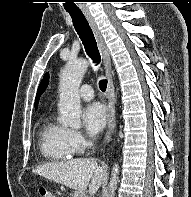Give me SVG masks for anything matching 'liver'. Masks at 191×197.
Wrapping results in <instances>:
<instances>
[{"label": "liver", "mask_w": 191, "mask_h": 197, "mask_svg": "<svg viewBox=\"0 0 191 197\" xmlns=\"http://www.w3.org/2000/svg\"><path fill=\"white\" fill-rule=\"evenodd\" d=\"M33 172L83 195L88 186L91 194L96 193L106 174L105 169L93 158L47 163L36 167Z\"/></svg>", "instance_id": "obj_1"}]
</instances>
